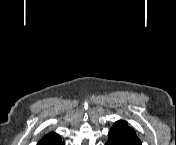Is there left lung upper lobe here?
Segmentation results:
<instances>
[{
	"instance_id": "5c2ea615",
	"label": "left lung upper lobe",
	"mask_w": 176,
	"mask_h": 145,
	"mask_svg": "<svg viewBox=\"0 0 176 145\" xmlns=\"http://www.w3.org/2000/svg\"><path fill=\"white\" fill-rule=\"evenodd\" d=\"M109 133L119 136L127 145H141L135 131L124 120L115 122Z\"/></svg>"
}]
</instances>
